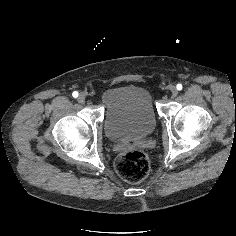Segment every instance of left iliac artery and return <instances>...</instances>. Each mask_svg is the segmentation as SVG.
<instances>
[{
	"label": "left iliac artery",
	"instance_id": "obj_1",
	"mask_svg": "<svg viewBox=\"0 0 236 236\" xmlns=\"http://www.w3.org/2000/svg\"><path fill=\"white\" fill-rule=\"evenodd\" d=\"M176 88H177V90L180 91V90H182L183 86H182V84L179 83V84H177Z\"/></svg>",
	"mask_w": 236,
	"mask_h": 236
}]
</instances>
